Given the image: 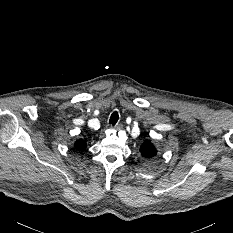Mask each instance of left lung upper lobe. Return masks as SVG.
Listing matches in <instances>:
<instances>
[{
    "label": "left lung upper lobe",
    "mask_w": 233,
    "mask_h": 233,
    "mask_svg": "<svg viewBox=\"0 0 233 233\" xmlns=\"http://www.w3.org/2000/svg\"><path fill=\"white\" fill-rule=\"evenodd\" d=\"M141 155L145 158L152 159L157 155V150L150 140H145L140 147Z\"/></svg>",
    "instance_id": "5c2ea615"
}]
</instances>
